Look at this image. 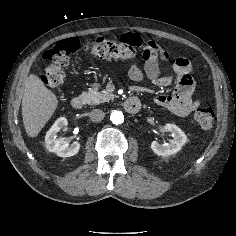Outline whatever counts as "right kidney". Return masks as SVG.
I'll return each instance as SVG.
<instances>
[{"mask_svg": "<svg viewBox=\"0 0 236 236\" xmlns=\"http://www.w3.org/2000/svg\"><path fill=\"white\" fill-rule=\"evenodd\" d=\"M67 125V119L60 117L55 121L45 136V147L49 152L57 154L59 157H71L76 155L80 149L79 142L69 144L68 141L57 139L58 131Z\"/></svg>", "mask_w": 236, "mask_h": 236, "instance_id": "right-kidney-1", "label": "right kidney"}]
</instances>
